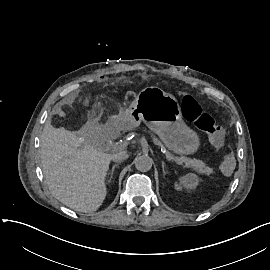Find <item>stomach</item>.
<instances>
[{
  "label": "stomach",
  "mask_w": 270,
  "mask_h": 270,
  "mask_svg": "<svg viewBox=\"0 0 270 270\" xmlns=\"http://www.w3.org/2000/svg\"><path fill=\"white\" fill-rule=\"evenodd\" d=\"M120 117L125 128L143 122L174 154L193 155L201 148V138L185 123L177 98L160 87L148 86L140 90Z\"/></svg>",
  "instance_id": "1"
}]
</instances>
